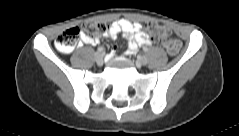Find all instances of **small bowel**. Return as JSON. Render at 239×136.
I'll return each instance as SVG.
<instances>
[{
	"instance_id": "obj_1",
	"label": "small bowel",
	"mask_w": 239,
	"mask_h": 136,
	"mask_svg": "<svg viewBox=\"0 0 239 136\" xmlns=\"http://www.w3.org/2000/svg\"><path fill=\"white\" fill-rule=\"evenodd\" d=\"M120 33L128 40V55L134 54L141 46H149L151 44V39L142 30L141 24L127 19H119L110 24L104 37L115 40ZM81 39L85 44L89 45H97L100 42V38H91L85 34L82 35Z\"/></svg>"
}]
</instances>
